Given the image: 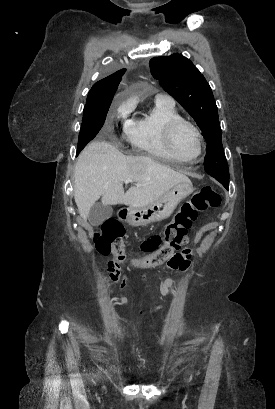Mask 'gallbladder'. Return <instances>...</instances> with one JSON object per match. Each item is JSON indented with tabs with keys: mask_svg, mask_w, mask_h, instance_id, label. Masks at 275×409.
Segmentation results:
<instances>
[{
	"mask_svg": "<svg viewBox=\"0 0 275 409\" xmlns=\"http://www.w3.org/2000/svg\"><path fill=\"white\" fill-rule=\"evenodd\" d=\"M113 213L112 207L108 205H102V202H95V205L91 207L88 215V221L92 227H98L103 221L109 219Z\"/></svg>",
	"mask_w": 275,
	"mask_h": 409,
	"instance_id": "obj_1",
	"label": "gallbladder"
}]
</instances>
